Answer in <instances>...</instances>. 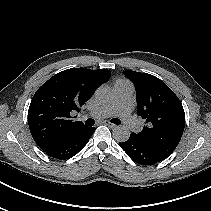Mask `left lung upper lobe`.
<instances>
[{
  "label": "left lung upper lobe",
  "mask_w": 211,
  "mask_h": 211,
  "mask_svg": "<svg viewBox=\"0 0 211 211\" xmlns=\"http://www.w3.org/2000/svg\"><path fill=\"white\" fill-rule=\"evenodd\" d=\"M134 83L137 114L147 123L138 134L144 145L168 157L177 147L185 126L183 106L175 93L159 78L136 71H124Z\"/></svg>",
  "instance_id": "1"
}]
</instances>
